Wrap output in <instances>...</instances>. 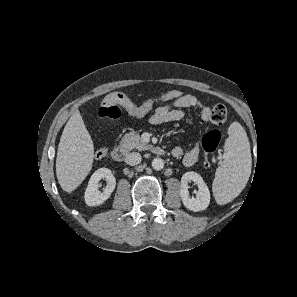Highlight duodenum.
I'll return each instance as SVG.
<instances>
[{
	"label": "duodenum",
	"instance_id": "410a0bca",
	"mask_svg": "<svg viewBox=\"0 0 297 297\" xmlns=\"http://www.w3.org/2000/svg\"><path fill=\"white\" fill-rule=\"evenodd\" d=\"M152 151L156 155H164L166 152L164 148L159 146L154 147ZM127 154L128 147L126 145H118L112 150L111 157L117 162H122L126 158Z\"/></svg>",
	"mask_w": 297,
	"mask_h": 297
}]
</instances>
